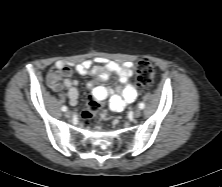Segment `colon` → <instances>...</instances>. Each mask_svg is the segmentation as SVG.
<instances>
[{
	"mask_svg": "<svg viewBox=\"0 0 222 187\" xmlns=\"http://www.w3.org/2000/svg\"><path fill=\"white\" fill-rule=\"evenodd\" d=\"M136 73L138 87L141 89H145L149 87L153 82L155 67L151 61L147 59H141L136 64ZM49 75L56 80H59L61 78V70L59 68H53L50 70ZM100 106V100L92 96L82 112L83 118L94 117L99 111Z\"/></svg>",
	"mask_w": 222,
	"mask_h": 187,
	"instance_id": "obj_1",
	"label": "colon"
}]
</instances>
